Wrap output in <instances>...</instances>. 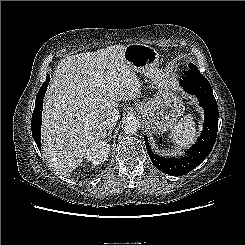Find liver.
<instances>
[{"label":"liver","mask_w":245,"mask_h":245,"mask_svg":"<svg viewBox=\"0 0 245 245\" xmlns=\"http://www.w3.org/2000/svg\"><path fill=\"white\" fill-rule=\"evenodd\" d=\"M126 47L113 45L62 59L44 98L43 155L69 177L87 149L106 136L102 120L118 119V101L139 96L140 84L124 58Z\"/></svg>","instance_id":"6515ba94"}]
</instances>
